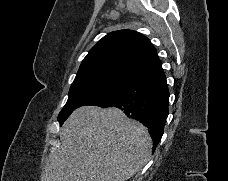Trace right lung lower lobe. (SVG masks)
Wrapping results in <instances>:
<instances>
[{
    "mask_svg": "<svg viewBox=\"0 0 228 181\" xmlns=\"http://www.w3.org/2000/svg\"><path fill=\"white\" fill-rule=\"evenodd\" d=\"M169 90L161 64L137 75L112 99L97 106L117 107L143 123L153 140V152L161 140L168 116Z\"/></svg>",
    "mask_w": 228,
    "mask_h": 181,
    "instance_id": "1",
    "label": "right lung lower lobe"
}]
</instances>
